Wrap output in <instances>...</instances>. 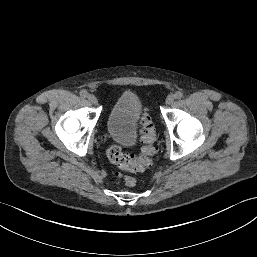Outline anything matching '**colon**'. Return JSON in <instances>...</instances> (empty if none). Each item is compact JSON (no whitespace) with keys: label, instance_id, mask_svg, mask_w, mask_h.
Listing matches in <instances>:
<instances>
[{"label":"colon","instance_id":"obj_1","mask_svg":"<svg viewBox=\"0 0 257 257\" xmlns=\"http://www.w3.org/2000/svg\"><path fill=\"white\" fill-rule=\"evenodd\" d=\"M142 124L143 132L141 138L143 147L141 155L136 156L131 153H126L117 145H112L107 149V156L109 160L122 170L129 172H140L150 165L152 156L155 153L154 131L148 117L143 119ZM116 175L117 177L122 178L124 184L128 187H132L136 184V180L133 177L122 176L118 172Z\"/></svg>","mask_w":257,"mask_h":257}]
</instances>
